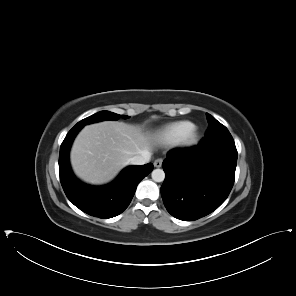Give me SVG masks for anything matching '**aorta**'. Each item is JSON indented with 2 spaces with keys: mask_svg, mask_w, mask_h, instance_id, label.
Instances as JSON below:
<instances>
[{
  "mask_svg": "<svg viewBox=\"0 0 296 296\" xmlns=\"http://www.w3.org/2000/svg\"><path fill=\"white\" fill-rule=\"evenodd\" d=\"M151 177L155 182H163L165 179V173L162 169H155L152 171Z\"/></svg>",
  "mask_w": 296,
  "mask_h": 296,
  "instance_id": "1",
  "label": "aorta"
}]
</instances>
